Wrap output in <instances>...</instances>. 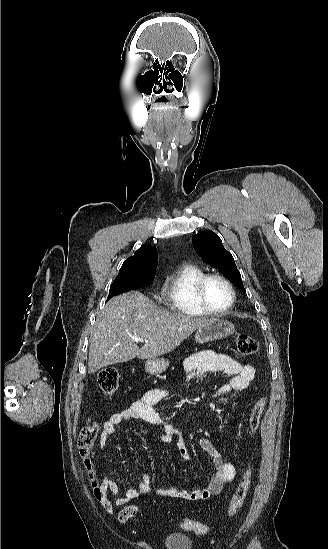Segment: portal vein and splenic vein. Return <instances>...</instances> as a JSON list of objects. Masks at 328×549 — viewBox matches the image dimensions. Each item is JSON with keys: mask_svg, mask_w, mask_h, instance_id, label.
Here are the masks:
<instances>
[{"mask_svg": "<svg viewBox=\"0 0 328 549\" xmlns=\"http://www.w3.org/2000/svg\"><path fill=\"white\" fill-rule=\"evenodd\" d=\"M133 341H143V339H141V337H132Z\"/></svg>", "mask_w": 328, "mask_h": 549, "instance_id": "18ae733b", "label": "portal vein and splenic vein"}]
</instances>
